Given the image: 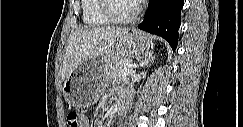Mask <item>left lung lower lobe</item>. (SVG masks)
Instances as JSON below:
<instances>
[{"label": "left lung lower lobe", "instance_id": "left-lung-lower-lobe-1", "mask_svg": "<svg viewBox=\"0 0 243 127\" xmlns=\"http://www.w3.org/2000/svg\"><path fill=\"white\" fill-rule=\"evenodd\" d=\"M183 4L184 0H150L144 20L138 28L163 37L175 50Z\"/></svg>", "mask_w": 243, "mask_h": 127}]
</instances>
